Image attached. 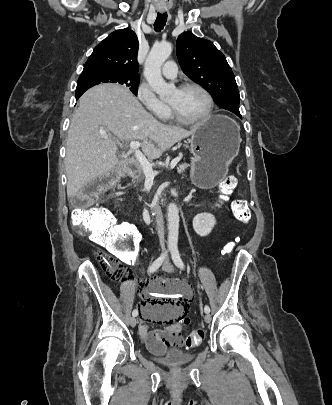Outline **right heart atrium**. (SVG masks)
Listing matches in <instances>:
<instances>
[{
	"label": "right heart atrium",
	"instance_id": "obj_1",
	"mask_svg": "<svg viewBox=\"0 0 332 405\" xmlns=\"http://www.w3.org/2000/svg\"><path fill=\"white\" fill-rule=\"evenodd\" d=\"M137 98L151 115L158 118H165L168 115V106L157 98L148 85L140 84L137 89Z\"/></svg>",
	"mask_w": 332,
	"mask_h": 405
}]
</instances>
